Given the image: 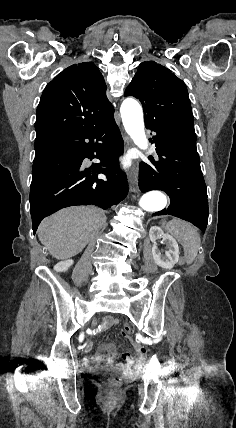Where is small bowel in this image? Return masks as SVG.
I'll return each instance as SVG.
<instances>
[{"label":"small bowel","mask_w":236,"mask_h":428,"mask_svg":"<svg viewBox=\"0 0 236 428\" xmlns=\"http://www.w3.org/2000/svg\"><path fill=\"white\" fill-rule=\"evenodd\" d=\"M119 323V320L115 317H106L104 320L91 330L90 336L94 337L100 334L102 331L106 330L109 327L115 326ZM93 347L92 341H87L85 345V350L87 352L91 351ZM133 347L136 354L130 356L128 354H123L120 357L118 366L123 369L134 370L139 368L146 358V349L144 345L138 341L133 342ZM116 349L115 346L111 343L101 344L98 347L97 353L92 357L87 359V365L91 369L98 368L103 362H106L108 365H113L115 363Z\"/></svg>","instance_id":"small-bowel-1"}]
</instances>
